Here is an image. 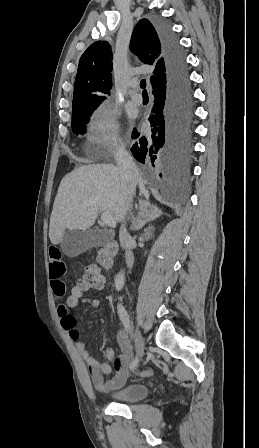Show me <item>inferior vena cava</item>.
I'll return each mask as SVG.
<instances>
[{"mask_svg":"<svg viewBox=\"0 0 259 448\" xmlns=\"http://www.w3.org/2000/svg\"><path fill=\"white\" fill-rule=\"evenodd\" d=\"M116 166L119 170L122 186L124 188V192H126L128 196V200L126 202V208L129 210L132 204V198L134 196V192L136 190V184H138L140 180V174L136 168L135 162H133L132 156H130L129 152L125 150V146H119L116 154H115ZM119 240L121 244V248L126 250L125 258L127 262L128 268L133 266L134 256L128 248L133 246V240L131 236H129L125 224H122L121 230L119 232Z\"/></svg>","mask_w":259,"mask_h":448,"instance_id":"1","label":"inferior vena cava"}]
</instances>
